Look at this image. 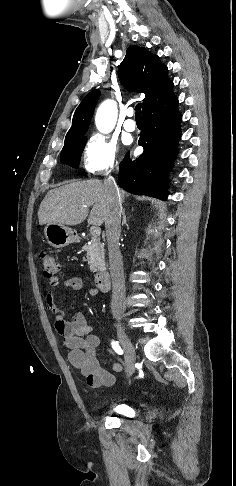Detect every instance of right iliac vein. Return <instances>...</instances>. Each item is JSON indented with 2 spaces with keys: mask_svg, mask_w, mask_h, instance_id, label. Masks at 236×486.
Wrapping results in <instances>:
<instances>
[{
  "mask_svg": "<svg viewBox=\"0 0 236 486\" xmlns=\"http://www.w3.org/2000/svg\"><path fill=\"white\" fill-rule=\"evenodd\" d=\"M117 336L126 354L127 375L129 377L135 371V367H134V363L136 360L135 349L121 323H117Z\"/></svg>",
  "mask_w": 236,
  "mask_h": 486,
  "instance_id": "1",
  "label": "right iliac vein"
}]
</instances>
